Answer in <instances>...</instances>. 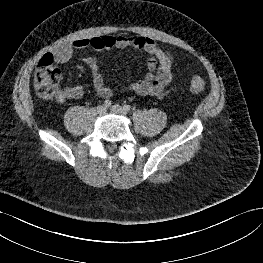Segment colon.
Masks as SVG:
<instances>
[{
	"mask_svg": "<svg viewBox=\"0 0 263 263\" xmlns=\"http://www.w3.org/2000/svg\"><path fill=\"white\" fill-rule=\"evenodd\" d=\"M61 78L59 67L54 63L51 54H45L38 62L34 72V88L37 94L43 98H53L58 90ZM205 80L200 76H194L190 81V90L194 93L204 91Z\"/></svg>",
	"mask_w": 263,
	"mask_h": 263,
	"instance_id": "colon-1",
	"label": "colon"
}]
</instances>
